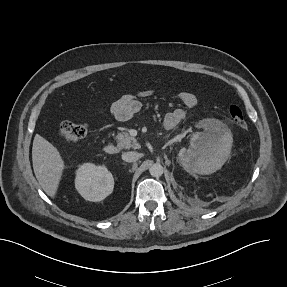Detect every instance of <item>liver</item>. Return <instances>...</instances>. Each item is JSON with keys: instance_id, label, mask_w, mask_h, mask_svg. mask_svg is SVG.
Instances as JSON below:
<instances>
[{"instance_id": "6515ba94", "label": "liver", "mask_w": 287, "mask_h": 287, "mask_svg": "<svg viewBox=\"0 0 287 287\" xmlns=\"http://www.w3.org/2000/svg\"><path fill=\"white\" fill-rule=\"evenodd\" d=\"M32 161L35 176L51 198H55L65 169L58 149L45 138L36 134L33 140Z\"/></svg>"}]
</instances>
